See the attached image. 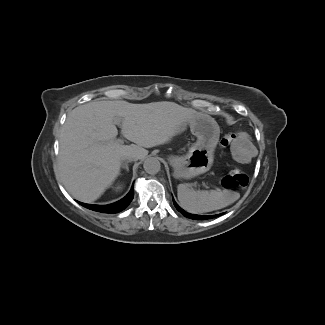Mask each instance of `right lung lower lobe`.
<instances>
[{
	"mask_svg": "<svg viewBox=\"0 0 325 325\" xmlns=\"http://www.w3.org/2000/svg\"><path fill=\"white\" fill-rule=\"evenodd\" d=\"M133 196H134V190L132 188L130 192L123 199L109 205L100 206V205L85 204L81 202L79 203L82 206L94 211L104 212V213H116L125 209L132 201Z\"/></svg>",
	"mask_w": 325,
	"mask_h": 325,
	"instance_id": "1",
	"label": "right lung lower lobe"
}]
</instances>
